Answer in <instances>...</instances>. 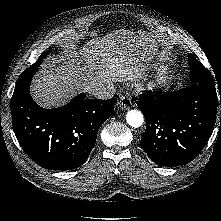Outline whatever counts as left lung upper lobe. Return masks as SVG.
Here are the masks:
<instances>
[{"label":"left lung upper lobe","instance_id":"left-lung-upper-lobe-1","mask_svg":"<svg viewBox=\"0 0 221 221\" xmlns=\"http://www.w3.org/2000/svg\"><path fill=\"white\" fill-rule=\"evenodd\" d=\"M192 84H202L208 89L216 91L215 84L211 73L204 68L192 54L188 55ZM218 92V91H217Z\"/></svg>","mask_w":221,"mask_h":221}]
</instances>
